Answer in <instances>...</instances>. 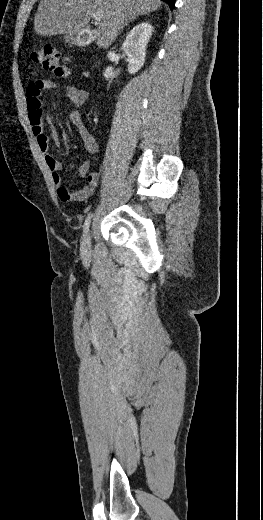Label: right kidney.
Returning <instances> with one entry per match:
<instances>
[{
    "instance_id": "1",
    "label": "right kidney",
    "mask_w": 263,
    "mask_h": 520,
    "mask_svg": "<svg viewBox=\"0 0 263 520\" xmlns=\"http://www.w3.org/2000/svg\"><path fill=\"white\" fill-rule=\"evenodd\" d=\"M153 33V27L149 22H142L133 27L122 44V50L128 57V72L137 73L144 65L146 46ZM116 76L112 67H107L104 77L112 79Z\"/></svg>"
}]
</instances>
